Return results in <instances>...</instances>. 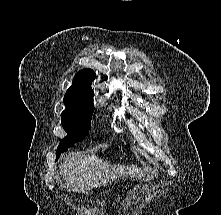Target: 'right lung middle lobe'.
Here are the masks:
<instances>
[{
	"label": "right lung middle lobe",
	"mask_w": 221,
	"mask_h": 215,
	"mask_svg": "<svg viewBox=\"0 0 221 215\" xmlns=\"http://www.w3.org/2000/svg\"><path fill=\"white\" fill-rule=\"evenodd\" d=\"M94 104H86L76 108H66L61 114V122L67 136L64 137L56 151L57 159L60 154L83 139L91 127ZM56 159V160H57Z\"/></svg>",
	"instance_id": "right-lung-middle-lobe-1"
}]
</instances>
